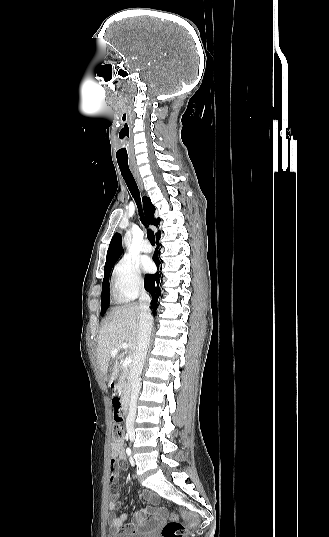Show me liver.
I'll use <instances>...</instances> for the list:
<instances>
[{
  "instance_id": "6515ba94",
  "label": "liver",
  "mask_w": 329,
  "mask_h": 537,
  "mask_svg": "<svg viewBox=\"0 0 329 537\" xmlns=\"http://www.w3.org/2000/svg\"><path fill=\"white\" fill-rule=\"evenodd\" d=\"M140 309L136 304H129L118 307L112 311L110 317L102 324L98 345L97 359L101 372L106 375L105 380H109V386L119 373V360L124 356L126 351L119 352L115 356L111 355L113 349L121 348L123 343H127L128 356L133 358L137 347V337L139 333ZM124 349V348H123ZM118 353V352H117ZM115 357L111 377L108 378L109 362Z\"/></svg>"
}]
</instances>
